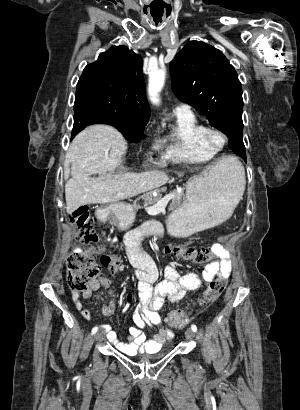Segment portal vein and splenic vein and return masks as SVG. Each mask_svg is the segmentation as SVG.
<instances>
[{
  "instance_id": "obj_1",
  "label": "portal vein and splenic vein",
  "mask_w": 300,
  "mask_h": 410,
  "mask_svg": "<svg viewBox=\"0 0 300 410\" xmlns=\"http://www.w3.org/2000/svg\"><path fill=\"white\" fill-rule=\"evenodd\" d=\"M174 193H170L163 198H161L155 205L151 207H146V210L148 213H157L161 212L165 209L167 206L168 202L174 197Z\"/></svg>"
}]
</instances>
